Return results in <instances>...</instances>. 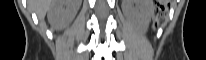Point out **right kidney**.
Masks as SVG:
<instances>
[{
	"label": "right kidney",
	"mask_w": 206,
	"mask_h": 60,
	"mask_svg": "<svg viewBox=\"0 0 206 60\" xmlns=\"http://www.w3.org/2000/svg\"><path fill=\"white\" fill-rule=\"evenodd\" d=\"M80 3L70 0H56L50 5L48 20L54 27L67 26L75 17Z\"/></svg>",
	"instance_id": "1"
}]
</instances>
